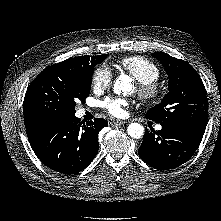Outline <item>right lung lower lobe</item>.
I'll return each mask as SVG.
<instances>
[{"label":"right lung lower lobe","instance_id":"1","mask_svg":"<svg viewBox=\"0 0 221 221\" xmlns=\"http://www.w3.org/2000/svg\"><path fill=\"white\" fill-rule=\"evenodd\" d=\"M80 121L75 114L24 115L28 140L43 164L63 174L78 173L89 165L99 149L98 133L107 121Z\"/></svg>","mask_w":221,"mask_h":221}]
</instances>
